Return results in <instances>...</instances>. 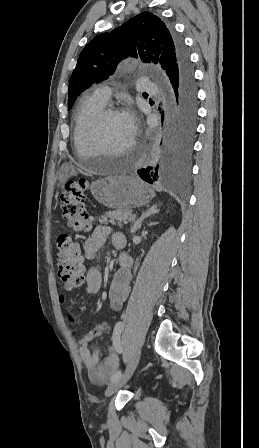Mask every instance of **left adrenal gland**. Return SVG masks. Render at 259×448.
<instances>
[{
    "label": "left adrenal gland",
    "mask_w": 259,
    "mask_h": 448,
    "mask_svg": "<svg viewBox=\"0 0 259 448\" xmlns=\"http://www.w3.org/2000/svg\"><path fill=\"white\" fill-rule=\"evenodd\" d=\"M157 212H159V210H157V206H151V208H149V210H147V212H143L142 216H140L139 220H137V222H135L134 226H132V234H135V232H137V230H140L141 226H142V222L143 220H145V218H148V216H152V214H157Z\"/></svg>",
    "instance_id": "left-adrenal-gland-1"
}]
</instances>
